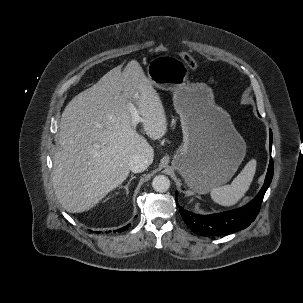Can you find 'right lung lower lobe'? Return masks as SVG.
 Segmentation results:
<instances>
[{"mask_svg":"<svg viewBox=\"0 0 303 303\" xmlns=\"http://www.w3.org/2000/svg\"><path fill=\"white\" fill-rule=\"evenodd\" d=\"M130 226V224H128L127 226H124L123 228H121V229H118L117 231H125L128 227Z\"/></svg>","mask_w":303,"mask_h":303,"instance_id":"98d812e1","label":"right lung lower lobe"}]
</instances>
